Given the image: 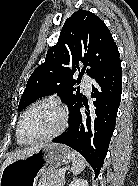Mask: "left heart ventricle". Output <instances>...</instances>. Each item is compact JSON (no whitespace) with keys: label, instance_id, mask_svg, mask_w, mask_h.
Wrapping results in <instances>:
<instances>
[{"label":"left heart ventricle","instance_id":"b2bd125f","mask_svg":"<svg viewBox=\"0 0 138 186\" xmlns=\"http://www.w3.org/2000/svg\"><path fill=\"white\" fill-rule=\"evenodd\" d=\"M61 113L50 106L32 110L24 119L21 135L26 140L46 136L54 132L61 124Z\"/></svg>","mask_w":138,"mask_h":186}]
</instances>
